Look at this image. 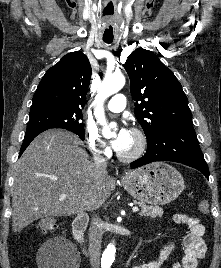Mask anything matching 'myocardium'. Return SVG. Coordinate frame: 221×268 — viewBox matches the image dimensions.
I'll return each mask as SVG.
<instances>
[{
  "instance_id": "obj_1",
  "label": "myocardium",
  "mask_w": 221,
  "mask_h": 268,
  "mask_svg": "<svg viewBox=\"0 0 221 268\" xmlns=\"http://www.w3.org/2000/svg\"><path fill=\"white\" fill-rule=\"evenodd\" d=\"M138 140L137 149L129 155L118 153L117 156L122 162H133L143 156L147 149L148 140L146 134L139 128H133L131 131Z\"/></svg>"
}]
</instances>
